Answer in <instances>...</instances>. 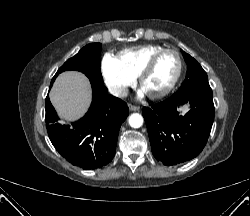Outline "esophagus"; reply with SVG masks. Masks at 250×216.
Segmentation results:
<instances>
[{"label":"esophagus","instance_id":"esophagus-1","mask_svg":"<svg viewBox=\"0 0 250 216\" xmlns=\"http://www.w3.org/2000/svg\"><path fill=\"white\" fill-rule=\"evenodd\" d=\"M129 109L131 111H139L140 110V107L139 106H135V105H132V104H129Z\"/></svg>","mask_w":250,"mask_h":216}]
</instances>
